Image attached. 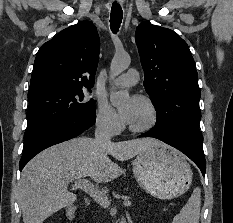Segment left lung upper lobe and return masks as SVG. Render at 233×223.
Segmentation results:
<instances>
[{
  "instance_id": "left-lung-upper-lobe-1",
  "label": "left lung upper lobe",
  "mask_w": 233,
  "mask_h": 223,
  "mask_svg": "<svg viewBox=\"0 0 233 223\" xmlns=\"http://www.w3.org/2000/svg\"><path fill=\"white\" fill-rule=\"evenodd\" d=\"M135 38L145 90L157 112L155 128L199 131L201 92L187 43L174 31L148 22L137 26Z\"/></svg>"
}]
</instances>
